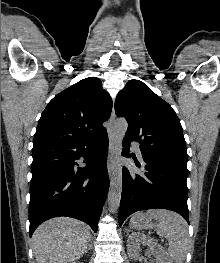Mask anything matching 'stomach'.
Here are the masks:
<instances>
[{"instance_id": "obj_1", "label": "stomach", "mask_w": 220, "mask_h": 263, "mask_svg": "<svg viewBox=\"0 0 220 263\" xmlns=\"http://www.w3.org/2000/svg\"><path fill=\"white\" fill-rule=\"evenodd\" d=\"M156 226L157 224L153 221V218L143 213L134 214L130 221V227L136 230L152 229Z\"/></svg>"}]
</instances>
